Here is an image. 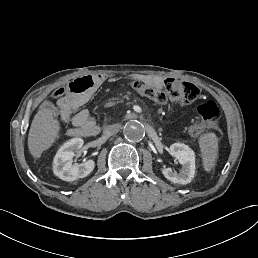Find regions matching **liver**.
I'll use <instances>...</instances> for the list:
<instances>
[{
	"instance_id": "liver-1",
	"label": "liver",
	"mask_w": 258,
	"mask_h": 258,
	"mask_svg": "<svg viewBox=\"0 0 258 258\" xmlns=\"http://www.w3.org/2000/svg\"><path fill=\"white\" fill-rule=\"evenodd\" d=\"M58 129L51 110L42 109L35 115L28 136V147L35 158L40 157L41 153L52 145Z\"/></svg>"
}]
</instances>
